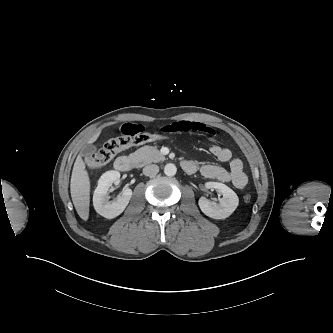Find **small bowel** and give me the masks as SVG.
<instances>
[{
    "label": "small bowel",
    "instance_id": "c3829d8e",
    "mask_svg": "<svg viewBox=\"0 0 333 333\" xmlns=\"http://www.w3.org/2000/svg\"><path fill=\"white\" fill-rule=\"evenodd\" d=\"M147 128L144 125L135 123H125L120 127V132L124 136H135L143 133ZM164 133H197L209 138L215 137L213 129L199 122L176 121L161 127ZM210 152L221 162H229V168H224L214 164L200 165L195 161L186 160L189 167L185 170L188 173L199 172L208 179H215L220 182H231L236 188L243 189L248 183V177L244 171L243 163L240 159L232 158V152L218 145H213Z\"/></svg>",
    "mask_w": 333,
    "mask_h": 333
}]
</instances>
